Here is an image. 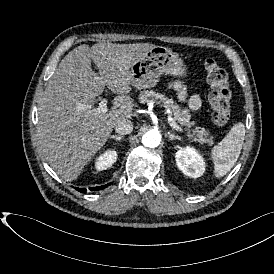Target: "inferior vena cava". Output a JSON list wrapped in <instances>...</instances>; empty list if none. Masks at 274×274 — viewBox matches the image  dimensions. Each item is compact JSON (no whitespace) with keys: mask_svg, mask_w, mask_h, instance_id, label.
Returning a JSON list of instances; mask_svg holds the SVG:
<instances>
[{"mask_svg":"<svg viewBox=\"0 0 274 274\" xmlns=\"http://www.w3.org/2000/svg\"><path fill=\"white\" fill-rule=\"evenodd\" d=\"M114 129L116 133L126 135L132 132L133 124L130 120H123L117 123Z\"/></svg>","mask_w":274,"mask_h":274,"instance_id":"inferior-vena-cava-1","label":"inferior vena cava"}]
</instances>
